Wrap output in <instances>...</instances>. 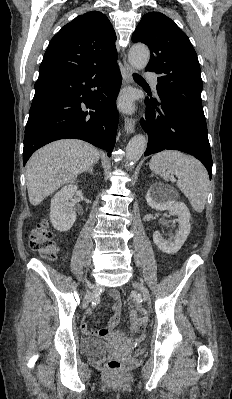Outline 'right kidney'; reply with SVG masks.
Returning <instances> with one entry per match:
<instances>
[{
  "label": "right kidney",
  "mask_w": 232,
  "mask_h": 399,
  "mask_svg": "<svg viewBox=\"0 0 232 399\" xmlns=\"http://www.w3.org/2000/svg\"><path fill=\"white\" fill-rule=\"evenodd\" d=\"M77 190L78 186H73V184L64 186L51 200L50 219L58 231H68L76 219V213L69 200H72Z\"/></svg>",
  "instance_id": "obj_1"
}]
</instances>
